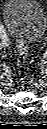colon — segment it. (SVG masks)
<instances>
[{"label":"colon","instance_id":"obj_1","mask_svg":"<svg viewBox=\"0 0 47 129\" xmlns=\"http://www.w3.org/2000/svg\"><path fill=\"white\" fill-rule=\"evenodd\" d=\"M18 48H19V50H20L21 55H22L23 57H26V56H27V51H26V49H25L22 45H20V44H18Z\"/></svg>","mask_w":47,"mask_h":129}]
</instances>
